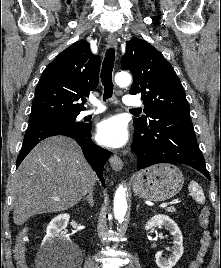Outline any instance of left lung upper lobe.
<instances>
[{
	"label": "left lung upper lobe",
	"instance_id": "5c2ea615",
	"mask_svg": "<svg viewBox=\"0 0 221 268\" xmlns=\"http://www.w3.org/2000/svg\"><path fill=\"white\" fill-rule=\"evenodd\" d=\"M121 65L123 69L132 72L133 84L130 94H141L147 117L154 112L190 113L185 91L173 67L147 41H128ZM146 116L134 119V126L146 124Z\"/></svg>",
	"mask_w": 221,
	"mask_h": 268
}]
</instances>
